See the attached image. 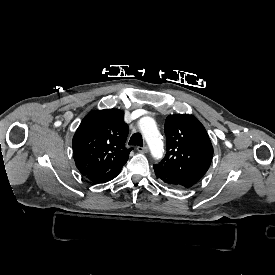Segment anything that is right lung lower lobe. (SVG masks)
<instances>
[{"label":"right lung lower lobe","mask_w":275,"mask_h":275,"mask_svg":"<svg viewBox=\"0 0 275 275\" xmlns=\"http://www.w3.org/2000/svg\"><path fill=\"white\" fill-rule=\"evenodd\" d=\"M120 171H109V172H101L89 174L86 177L95 183H104L114 179Z\"/></svg>","instance_id":"98d812e1"}]
</instances>
